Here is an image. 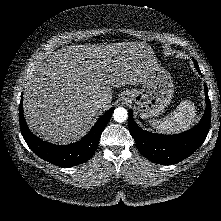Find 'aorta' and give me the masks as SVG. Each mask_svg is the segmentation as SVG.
I'll return each instance as SVG.
<instances>
[{
  "label": "aorta",
  "instance_id": "aorta-1",
  "mask_svg": "<svg viewBox=\"0 0 221 221\" xmlns=\"http://www.w3.org/2000/svg\"><path fill=\"white\" fill-rule=\"evenodd\" d=\"M113 118L116 122H119V123L124 122L128 118V112L125 108L118 107L114 110Z\"/></svg>",
  "mask_w": 221,
  "mask_h": 221
}]
</instances>
